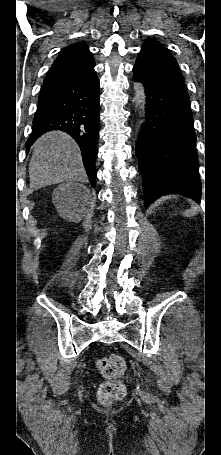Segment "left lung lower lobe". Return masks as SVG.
<instances>
[{
  "instance_id": "0a47b994",
  "label": "left lung lower lobe",
  "mask_w": 221,
  "mask_h": 455,
  "mask_svg": "<svg viewBox=\"0 0 221 455\" xmlns=\"http://www.w3.org/2000/svg\"><path fill=\"white\" fill-rule=\"evenodd\" d=\"M133 72V80L143 83L147 102L135 150L143 177L145 207L168 194L199 201L196 134L185 87L136 65Z\"/></svg>"
}]
</instances>
